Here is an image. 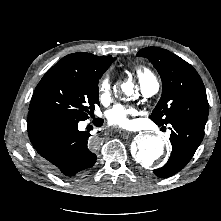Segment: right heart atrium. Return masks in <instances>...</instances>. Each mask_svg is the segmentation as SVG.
Returning <instances> with one entry per match:
<instances>
[{"mask_svg": "<svg viewBox=\"0 0 221 221\" xmlns=\"http://www.w3.org/2000/svg\"><path fill=\"white\" fill-rule=\"evenodd\" d=\"M100 98L101 100H106L111 91L110 77L106 74L100 81L99 84Z\"/></svg>", "mask_w": 221, "mask_h": 221, "instance_id": "right-heart-atrium-1", "label": "right heart atrium"}]
</instances>
